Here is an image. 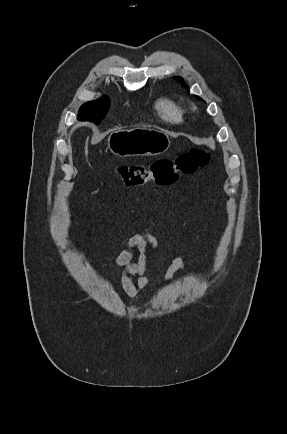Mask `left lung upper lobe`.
Wrapping results in <instances>:
<instances>
[{
    "mask_svg": "<svg viewBox=\"0 0 287 434\" xmlns=\"http://www.w3.org/2000/svg\"><path fill=\"white\" fill-rule=\"evenodd\" d=\"M174 78L177 79V80H179V81H181V82L183 81V78H181L179 76H175Z\"/></svg>",
    "mask_w": 287,
    "mask_h": 434,
    "instance_id": "obj_1",
    "label": "left lung upper lobe"
}]
</instances>
